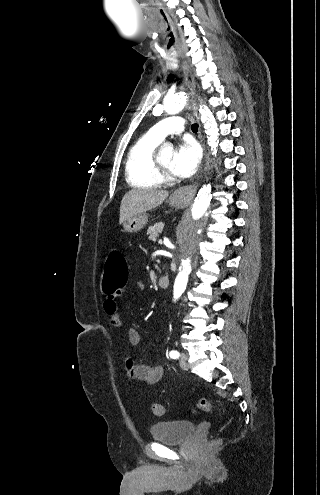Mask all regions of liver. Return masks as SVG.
I'll list each match as a JSON object with an SVG mask.
<instances>
[{"label":"liver","mask_w":320,"mask_h":495,"mask_svg":"<svg viewBox=\"0 0 320 495\" xmlns=\"http://www.w3.org/2000/svg\"><path fill=\"white\" fill-rule=\"evenodd\" d=\"M168 195L167 191L153 189H133L127 192L121 201L119 223L160 206Z\"/></svg>","instance_id":"6515ba94"}]
</instances>
